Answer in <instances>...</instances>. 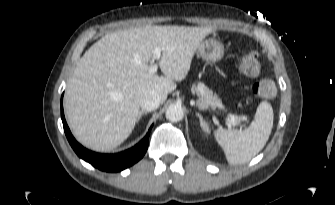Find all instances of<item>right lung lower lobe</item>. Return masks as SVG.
<instances>
[{
	"label": "right lung lower lobe",
	"mask_w": 335,
	"mask_h": 205,
	"mask_svg": "<svg viewBox=\"0 0 335 205\" xmlns=\"http://www.w3.org/2000/svg\"><path fill=\"white\" fill-rule=\"evenodd\" d=\"M62 100L63 96L61 98V118L66 137L76 154L80 158L89 162L92 166L106 172H118L139 161L146 153L151 128L149 129L146 136L137 145L121 153L107 155L87 150L81 146L72 136L65 120Z\"/></svg>",
	"instance_id": "1"
}]
</instances>
